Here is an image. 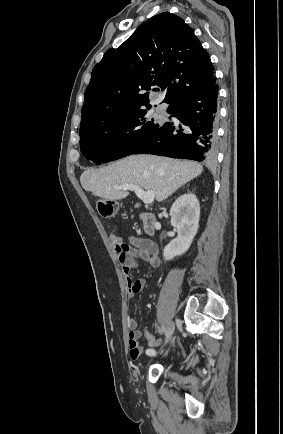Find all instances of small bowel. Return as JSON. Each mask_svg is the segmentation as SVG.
Segmentation results:
<instances>
[{"label": "small bowel", "instance_id": "obj_1", "mask_svg": "<svg viewBox=\"0 0 283 434\" xmlns=\"http://www.w3.org/2000/svg\"><path fill=\"white\" fill-rule=\"evenodd\" d=\"M110 240L115 247L116 254L126 275L129 294L130 296H133L135 293L141 291L146 285V280L144 278H139L137 280L131 278L130 274L132 270L139 268L137 259H142L151 268L157 267L160 263L158 248L153 242L134 236L127 237L125 241L122 236L111 235ZM128 325L130 357L133 360L138 359L144 352L143 348L139 344L140 338L144 337L147 340L149 348L161 345L162 340L152 335L147 328H144L143 330L138 329V323L134 318L129 319Z\"/></svg>", "mask_w": 283, "mask_h": 434}]
</instances>
